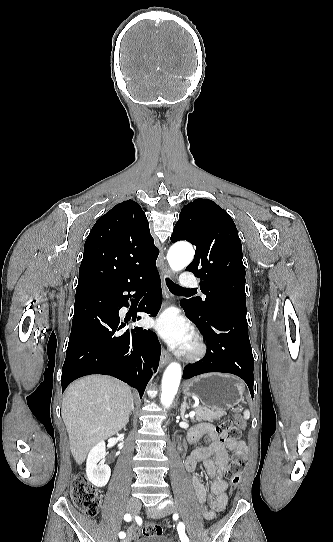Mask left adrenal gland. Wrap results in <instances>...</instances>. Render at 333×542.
Returning a JSON list of instances; mask_svg holds the SVG:
<instances>
[{
    "label": "left adrenal gland",
    "instance_id": "obj_1",
    "mask_svg": "<svg viewBox=\"0 0 333 542\" xmlns=\"http://www.w3.org/2000/svg\"><path fill=\"white\" fill-rule=\"evenodd\" d=\"M187 408H189V406H188V404L186 402V396H184L183 404H181V410H180V416H181L182 420H184V422L186 420V418H184V414H185Z\"/></svg>",
    "mask_w": 333,
    "mask_h": 542
}]
</instances>
